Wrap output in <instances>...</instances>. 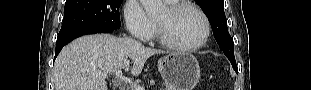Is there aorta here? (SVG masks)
I'll list each match as a JSON object with an SVG mask.
<instances>
[{"instance_id":"1","label":"aorta","mask_w":311,"mask_h":90,"mask_svg":"<svg viewBox=\"0 0 311 90\" xmlns=\"http://www.w3.org/2000/svg\"><path fill=\"white\" fill-rule=\"evenodd\" d=\"M148 16H155L164 9L162 0H140Z\"/></svg>"}]
</instances>
